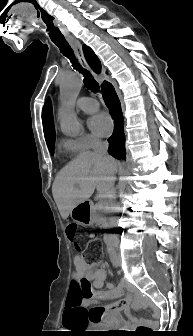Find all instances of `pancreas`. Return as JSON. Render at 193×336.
<instances>
[{
	"mask_svg": "<svg viewBox=\"0 0 193 336\" xmlns=\"http://www.w3.org/2000/svg\"><path fill=\"white\" fill-rule=\"evenodd\" d=\"M99 207H100V206H97V207L95 208V211L97 212V219H98V220H101V219L103 218L104 212H103L102 210H100ZM100 224H101V225H104V224H105V220H101V221H100Z\"/></svg>",
	"mask_w": 193,
	"mask_h": 336,
	"instance_id": "1",
	"label": "pancreas"
}]
</instances>
